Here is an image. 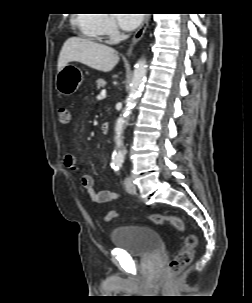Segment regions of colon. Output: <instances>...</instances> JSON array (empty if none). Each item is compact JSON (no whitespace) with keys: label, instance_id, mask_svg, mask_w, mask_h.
Instances as JSON below:
<instances>
[{"label":"colon","instance_id":"5ec220e1","mask_svg":"<svg viewBox=\"0 0 252 303\" xmlns=\"http://www.w3.org/2000/svg\"><path fill=\"white\" fill-rule=\"evenodd\" d=\"M59 121L62 124H68L70 122V112L67 107H61L59 109ZM117 216V212L109 211L104 216V220L108 222L115 219ZM148 218L156 225H169L175 227L179 231L184 230L183 222L177 217L152 214ZM196 247L197 238L192 235L187 236L184 240L182 249L176 253L168 264L167 274L169 277L177 276L192 261Z\"/></svg>","mask_w":252,"mask_h":303}]
</instances>
